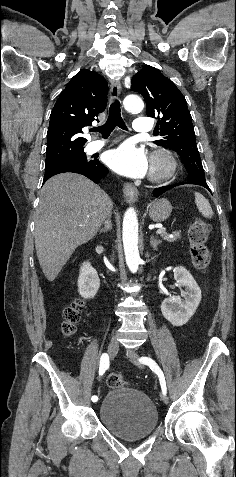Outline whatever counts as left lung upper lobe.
<instances>
[{
	"instance_id": "5c2ea615",
	"label": "left lung upper lobe",
	"mask_w": 236,
	"mask_h": 477,
	"mask_svg": "<svg viewBox=\"0 0 236 477\" xmlns=\"http://www.w3.org/2000/svg\"><path fill=\"white\" fill-rule=\"evenodd\" d=\"M131 90L144 97L147 116L159 118L155 134L163 139L155 141V144L171 149L181 157L188 172L187 182L206 183L192 117L180 90L158 69L149 65L133 76Z\"/></svg>"
}]
</instances>
